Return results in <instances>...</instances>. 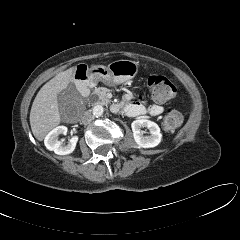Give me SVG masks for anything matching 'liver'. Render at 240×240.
I'll return each mask as SVG.
<instances>
[{
	"instance_id": "liver-1",
	"label": "liver",
	"mask_w": 240,
	"mask_h": 240,
	"mask_svg": "<svg viewBox=\"0 0 240 240\" xmlns=\"http://www.w3.org/2000/svg\"><path fill=\"white\" fill-rule=\"evenodd\" d=\"M75 73V67L58 73L37 93L30 111L31 130L37 140L42 141L51 129L60 124L57 96L75 81Z\"/></svg>"
}]
</instances>
